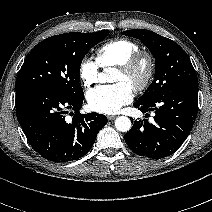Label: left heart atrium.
Segmentation results:
<instances>
[{"mask_svg": "<svg viewBox=\"0 0 212 212\" xmlns=\"http://www.w3.org/2000/svg\"><path fill=\"white\" fill-rule=\"evenodd\" d=\"M89 107L96 112L113 114L133 99V89L126 82L97 86L87 92Z\"/></svg>", "mask_w": 212, "mask_h": 212, "instance_id": "left-heart-atrium-1", "label": "left heart atrium"}]
</instances>
